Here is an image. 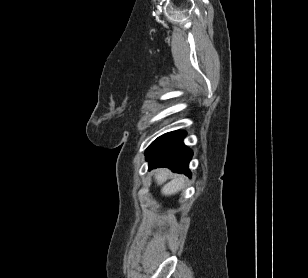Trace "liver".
<instances>
[{
	"label": "liver",
	"instance_id": "1",
	"mask_svg": "<svg viewBox=\"0 0 308 278\" xmlns=\"http://www.w3.org/2000/svg\"><path fill=\"white\" fill-rule=\"evenodd\" d=\"M170 172L167 169H158L155 173V179L158 185H162L166 182ZM184 176H177L170 182L165 183L161 189L163 195H173L180 191L184 187Z\"/></svg>",
	"mask_w": 308,
	"mask_h": 278
}]
</instances>
